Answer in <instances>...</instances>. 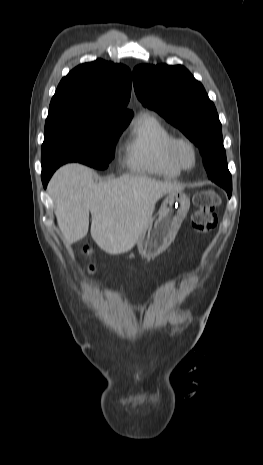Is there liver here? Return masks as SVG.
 Instances as JSON below:
<instances>
[{"mask_svg":"<svg viewBox=\"0 0 263 465\" xmlns=\"http://www.w3.org/2000/svg\"><path fill=\"white\" fill-rule=\"evenodd\" d=\"M86 166L65 165L53 175L48 192L55 202V215L64 242L84 238L92 216L91 236L111 255L128 252L152 218L157 201L183 185L161 182L142 175H124L101 183Z\"/></svg>","mask_w":263,"mask_h":465,"instance_id":"obj_1","label":"liver"}]
</instances>
